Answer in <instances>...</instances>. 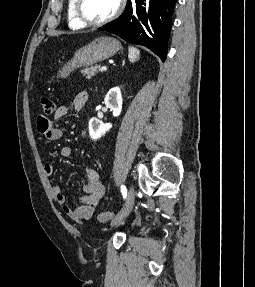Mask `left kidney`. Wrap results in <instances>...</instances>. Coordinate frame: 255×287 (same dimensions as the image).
I'll return each mask as SVG.
<instances>
[{"mask_svg": "<svg viewBox=\"0 0 255 287\" xmlns=\"http://www.w3.org/2000/svg\"><path fill=\"white\" fill-rule=\"evenodd\" d=\"M104 102L106 108H111L115 118L120 116L122 112L123 100L121 90L118 88V86L109 90L108 94H106ZM110 128H112V124H103V122L98 120V118H91V120H89V136L92 138V140H99L101 136H104L106 132H109Z\"/></svg>", "mask_w": 255, "mask_h": 287, "instance_id": "obj_1", "label": "left kidney"}]
</instances>
